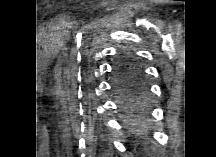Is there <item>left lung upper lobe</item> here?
Returning <instances> with one entry per match:
<instances>
[{"label": "left lung upper lobe", "mask_w": 216, "mask_h": 157, "mask_svg": "<svg viewBox=\"0 0 216 157\" xmlns=\"http://www.w3.org/2000/svg\"><path fill=\"white\" fill-rule=\"evenodd\" d=\"M117 81L131 86L133 89V99L130 102L132 108L144 104L147 96V84L144 78V72L140 64L133 56L124 54L116 65Z\"/></svg>", "instance_id": "1"}]
</instances>
